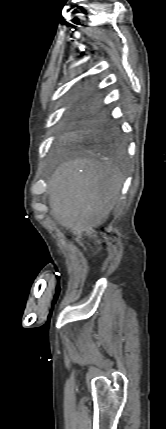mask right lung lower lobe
Wrapping results in <instances>:
<instances>
[{
	"label": "right lung lower lobe",
	"instance_id": "right-lung-lower-lobe-1",
	"mask_svg": "<svg viewBox=\"0 0 166 429\" xmlns=\"http://www.w3.org/2000/svg\"><path fill=\"white\" fill-rule=\"evenodd\" d=\"M87 118L88 133L96 139H105L112 132L117 131L108 115L96 106H91L88 109Z\"/></svg>",
	"mask_w": 166,
	"mask_h": 429
}]
</instances>
